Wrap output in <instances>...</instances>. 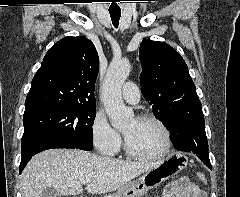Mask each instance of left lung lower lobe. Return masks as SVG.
<instances>
[{"instance_id":"0a47b994","label":"left lung lower lobe","mask_w":240,"mask_h":197,"mask_svg":"<svg viewBox=\"0 0 240 197\" xmlns=\"http://www.w3.org/2000/svg\"><path fill=\"white\" fill-rule=\"evenodd\" d=\"M204 127L203 112L182 118L179 126L171 133V140L176 149L195 153L208 168L212 169Z\"/></svg>"}]
</instances>
